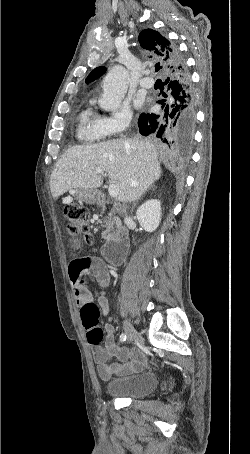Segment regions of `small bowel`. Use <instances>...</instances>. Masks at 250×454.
Here are the masks:
<instances>
[{"label":"small bowel","mask_w":250,"mask_h":454,"mask_svg":"<svg viewBox=\"0 0 250 454\" xmlns=\"http://www.w3.org/2000/svg\"><path fill=\"white\" fill-rule=\"evenodd\" d=\"M68 278L76 303L82 307L85 304L93 303V297L86 286V280L96 279L100 284L106 285L109 281V270L107 265L98 257L74 258L68 264ZM98 304L102 314L107 315L109 303L103 294L99 296ZM104 330V345L96 344L93 347V359L100 378L108 380L114 375L135 372L144 367L146 357L142 351L120 348L115 342L112 325H105ZM113 358H116L117 362L111 363Z\"/></svg>","instance_id":"1"}]
</instances>
